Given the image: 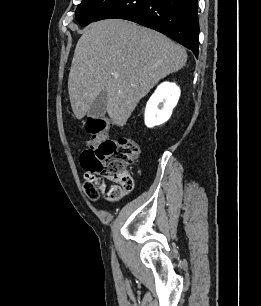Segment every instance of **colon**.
I'll list each match as a JSON object with an SVG mask.
<instances>
[{
    "mask_svg": "<svg viewBox=\"0 0 261 306\" xmlns=\"http://www.w3.org/2000/svg\"><path fill=\"white\" fill-rule=\"evenodd\" d=\"M91 135L88 148L81 154L85 170V189L91 200H96L105 189L104 180L115 185L107 190V197H113L120 189H130L132 178L128 167L139 155L137 142L128 137L110 140L107 137L109 122L106 118L90 117L86 123Z\"/></svg>",
    "mask_w": 261,
    "mask_h": 306,
    "instance_id": "obj_1",
    "label": "colon"
}]
</instances>
